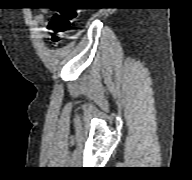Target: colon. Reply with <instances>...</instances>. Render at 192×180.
Instances as JSON below:
<instances>
[{
  "label": "colon",
  "mask_w": 192,
  "mask_h": 180,
  "mask_svg": "<svg viewBox=\"0 0 192 180\" xmlns=\"http://www.w3.org/2000/svg\"><path fill=\"white\" fill-rule=\"evenodd\" d=\"M77 16L76 10L60 9L51 20V27L54 29V45H57L61 37L71 29L73 21Z\"/></svg>",
  "instance_id": "5ec220e1"
}]
</instances>
